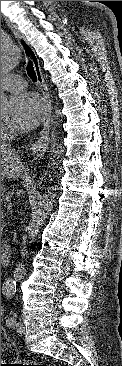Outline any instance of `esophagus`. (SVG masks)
I'll return each instance as SVG.
<instances>
[{
    "instance_id": "1",
    "label": "esophagus",
    "mask_w": 122,
    "mask_h": 366,
    "mask_svg": "<svg viewBox=\"0 0 122 366\" xmlns=\"http://www.w3.org/2000/svg\"><path fill=\"white\" fill-rule=\"evenodd\" d=\"M14 34L19 41V44L26 56L29 59L34 67L37 76V83L42 91L44 102H45V120L43 123V129L40 132L39 140L32 145V149H46L49 141H50V124H51V114H52V104L50 99V94L45 83L41 67L39 64V59L35 50L30 46L27 40L22 36L18 31L14 30Z\"/></svg>"
}]
</instances>
